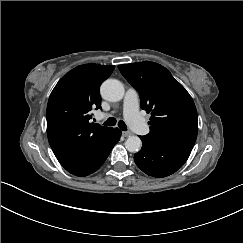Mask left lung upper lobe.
I'll use <instances>...</instances> for the list:
<instances>
[{"label":"left lung upper lobe","mask_w":243,"mask_h":243,"mask_svg":"<svg viewBox=\"0 0 243 243\" xmlns=\"http://www.w3.org/2000/svg\"><path fill=\"white\" fill-rule=\"evenodd\" d=\"M118 68L138 91L141 108L151 113L146 137L192 149L198 132L197 110L190 94L169 70L149 61Z\"/></svg>","instance_id":"1"}]
</instances>
